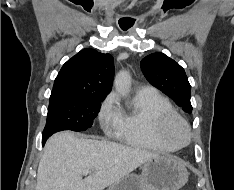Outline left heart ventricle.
Segmentation results:
<instances>
[{"mask_svg": "<svg viewBox=\"0 0 234 190\" xmlns=\"http://www.w3.org/2000/svg\"><path fill=\"white\" fill-rule=\"evenodd\" d=\"M172 135L176 140H182L184 137V134L182 130L179 127H175L172 131Z\"/></svg>", "mask_w": 234, "mask_h": 190, "instance_id": "obj_1", "label": "left heart ventricle"}]
</instances>
